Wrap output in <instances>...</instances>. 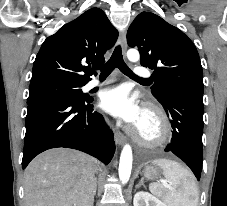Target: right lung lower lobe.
Wrapping results in <instances>:
<instances>
[{
  "label": "right lung lower lobe",
  "mask_w": 227,
  "mask_h": 206,
  "mask_svg": "<svg viewBox=\"0 0 227 206\" xmlns=\"http://www.w3.org/2000/svg\"><path fill=\"white\" fill-rule=\"evenodd\" d=\"M92 101L45 98L28 103L22 168L56 147L77 149L108 164L115 152L113 132Z\"/></svg>",
  "instance_id": "right-lung-lower-lobe-1"
}]
</instances>
